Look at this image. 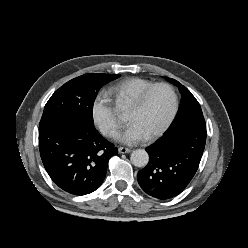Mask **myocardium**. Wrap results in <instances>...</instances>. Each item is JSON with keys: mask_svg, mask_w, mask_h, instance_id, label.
<instances>
[{"mask_svg": "<svg viewBox=\"0 0 248 248\" xmlns=\"http://www.w3.org/2000/svg\"><path fill=\"white\" fill-rule=\"evenodd\" d=\"M158 87H165L170 91V93L172 95V109H171V112H170L168 119L163 124V126L155 133L146 137V139L149 141H152V140H155V139L161 137L169 129V127L172 125V123L176 117L177 111H178V103H179L176 90L174 89V87L172 85H170L169 83H166V82L154 83L151 86H149L148 88H146L144 91H142L140 93V95L135 99V101L130 105V107L132 109L140 110L145 105V102H146L148 96L150 95V93Z\"/></svg>", "mask_w": 248, "mask_h": 248, "instance_id": "obj_1", "label": "myocardium"}]
</instances>
